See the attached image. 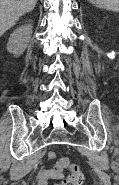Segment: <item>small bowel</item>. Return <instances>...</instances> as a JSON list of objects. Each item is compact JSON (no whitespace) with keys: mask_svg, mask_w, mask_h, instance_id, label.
<instances>
[{"mask_svg":"<svg viewBox=\"0 0 119 185\" xmlns=\"http://www.w3.org/2000/svg\"><path fill=\"white\" fill-rule=\"evenodd\" d=\"M50 165L43 167L37 174V185H47L51 179L60 180L64 177L62 168L58 161H55L54 151L49 152ZM58 185V184H55Z\"/></svg>","mask_w":119,"mask_h":185,"instance_id":"c3829d8e","label":"small bowel"}]
</instances>
